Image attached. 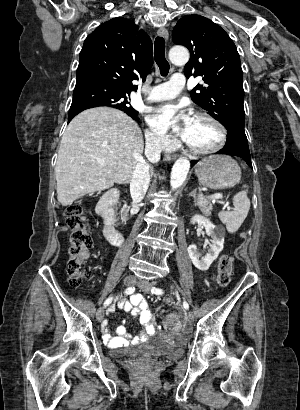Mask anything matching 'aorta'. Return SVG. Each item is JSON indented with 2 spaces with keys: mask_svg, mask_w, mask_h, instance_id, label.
<instances>
[{
  "mask_svg": "<svg viewBox=\"0 0 300 410\" xmlns=\"http://www.w3.org/2000/svg\"><path fill=\"white\" fill-rule=\"evenodd\" d=\"M169 58L172 63L184 65L189 60V52L184 47H173L169 51ZM190 169V161L187 158H179L173 165L170 186L172 190L178 189L184 183Z\"/></svg>",
  "mask_w": 300,
  "mask_h": 410,
  "instance_id": "aorta-1",
  "label": "aorta"
}]
</instances>
